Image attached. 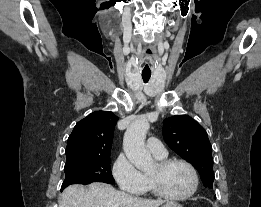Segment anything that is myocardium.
I'll return each instance as SVG.
<instances>
[{
    "instance_id": "f54148a6",
    "label": "myocardium",
    "mask_w": 261,
    "mask_h": 207,
    "mask_svg": "<svg viewBox=\"0 0 261 207\" xmlns=\"http://www.w3.org/2000/svg\"><path fill=\"white\" fill-rule=\"evenodd\" d=\"M172 164H182L189 170V172L191 174V178H192L191 189L183 195H172V194L167 193L161 187L160 183L158 182V180L155 177L149 175V181H150L151 187L158 196H160L164 199L172 200V201L187 200V199L191 198L197 192V189L199 186V178H198L197 172H196L194 166L190 162H188L184 159H180V158H164V159L159 160L157 163L159 169H161V170L169 167Z\"/></svg>"
}]
</instances>
